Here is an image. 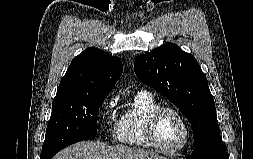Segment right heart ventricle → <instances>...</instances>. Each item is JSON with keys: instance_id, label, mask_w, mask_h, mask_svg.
<instances>
[{"instance_id": "obj_1", "label": "right heart ventricle", "mask_w": 253, "mask_h": 159, "mask_svg": "<svg viewBox=\"0 0 253 159\" xmlns=\"http://www.w3.org/2000/svg\"><path fill=\"white\" fill-rule=\"evenodd\" d=\"M158 106V101L151 93L137 92L114 127L116 142L137 149L150 148L144 135V125L148 114Z\"/></svg>"}]
</instances>
